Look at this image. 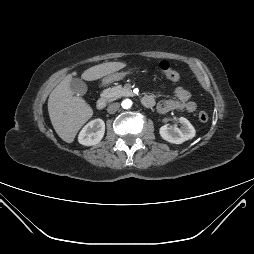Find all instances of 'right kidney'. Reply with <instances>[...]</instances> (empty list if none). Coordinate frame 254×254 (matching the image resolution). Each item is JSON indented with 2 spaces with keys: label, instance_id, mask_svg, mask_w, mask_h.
Segmentation results:
<instances>
[{
  "label": "right kidney",
  "instance_id": "ca27d5eb",
  "mask_svg": "<svg viewBox=\"0 0 254 254\" xmlns=\"http://www.w3.org/2000/svg\"><path fill=\"white\" fill-rule=\"evenodd\" d=\"M105 133V123L97 118L87 123L79 133L78 142L85 146L98 144Z\"/></svg>",
  "mask_w": 254,
  "mask_h": 254
}]
</instances>
